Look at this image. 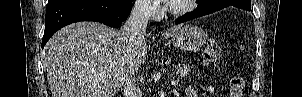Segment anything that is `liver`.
Segmentation results:
<instances>
[{
  "label": "liver",
  "instance_id": "6515ba94",
  "mask_svg": "<svg viewBox=\"0 0 302 97\" xmlns=\"http://www.w3.org/2000/svg\"><path fill=\"white\" fill-rule=\"evenodd\" d=\"M179 30V26L171 27L162 37H172ZM146 58L144 36L132 45L121 29L95 22L60 29L43 53L52 97H113L130 67L138 70Z\"/></svg>",
  "mask_w": 302,
  "mask_h": 97
}]
</instances>
